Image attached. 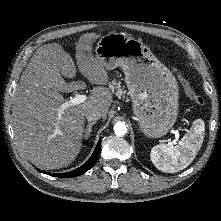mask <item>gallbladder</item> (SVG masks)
Returning a JSON list of instances; mask_svg holds the SVG:
<instances>
[{
  "label": "gallbladder",
  "mask_w": 221,
  "mask_h": 221,
  "mask_svg": "<svg viewBox=\"0 0 221 221\" xmlns=\"http://www.w3.org/2000/svg\"><path fill=\"white\" fill-rule=\"evenodd\" d=\"M56 88L59 90V91H66L67 90V85L66 83H62V82H59L56 86Z\"/></svg>",
  "instance_id": "bac80fb5"
}]
</instances>
